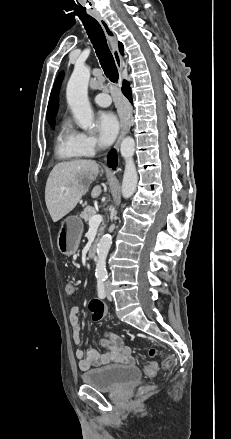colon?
<instances>
[{"label":"colon","instance_id":"colon-1","mask_svg":"<svg viewBox=\"0 0 231 439\" xmlns=\"http://www.w3.org/2000/svg\"><path fill=\"white\" fill-rule=\"evenodd\" d=\"M65 292L69 296H74L76 293V286L73 281L69 280L65 284ZM89 309L92 314V319L94 321H100L104 318L106 313V308L103 302L100 300H92L89 304ZM158 355V350L151 348L149 350V356L155 357ZM174 364V359L171 356H164L163 367L170 369ZM157 368L154 363H150L144 367V374L147 377H153L156 374Z\"/></svg>","mask_w":231,"mask_h":439}]
</instances>
